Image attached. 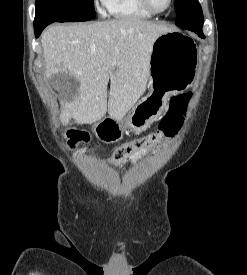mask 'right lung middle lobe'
Wrapping results in <instances>:
<instances>
[{
  "instance_id": "right-lung-middle-lobe-1",
  "label": "right lung middle lobe",
  "mask_w": 247,
  "mask_h": 275,
  "mask_svg": "<svg viewBox=\"0 0 247 275\" xmlns=\"http://www.w3.org/2000/svg\"><path fill=\"white\" fill-rule=\"evenodd\" d=\"M34 23L79 22L95 18L93 0H36Z\"/></svg>"
}]
</instances>
